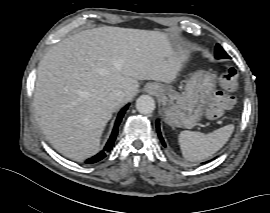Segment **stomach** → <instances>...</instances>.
<instances>
[{
	"label": "stomach",
	"mask_w": 270,
	"mask_h": 213,
	"mask_svg": "<svg viewBox=\"0 0 270 213\" xmlns=\"http://www.w3.org/2000/svg\"><path fill=\"white\" fill-rule=\"evenodd\" d=\"M159 88L164 121L170 126L193 128L201 119L215 90V77L208 71H197L186 81L184 92L171 86L154 83Z\"/></svg>",
	"instance_id": "obj_1"
}]
</instances>
